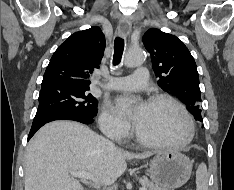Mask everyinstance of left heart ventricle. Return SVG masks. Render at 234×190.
Listing matches in <instances>:
<instances>
[{"label":"left heart ventricle","instance_id":"obj_1","mask_svg":"<svg viewBox=\"0 0 234 190\" xmlns=\"http://www.w3.org/2000/svg\"><path fill=\"white\" fill-rule=\"evenodd\" d=\"M140 132L157 141H180L187 135V123L182 113L171 103H147L135 121Z\"/></svg>","mask_w":234,"mask_h":190}]
</instances>
